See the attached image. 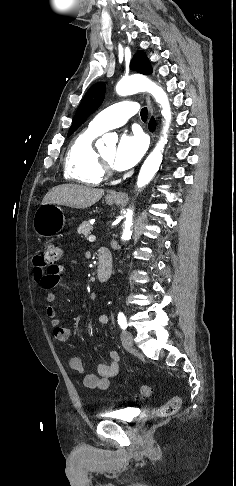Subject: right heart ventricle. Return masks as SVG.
Segmentation results:
<instances>
[{
	"label": "right heart ventricle",
	"instance_id": "right-heart-ventricle-1",
	"mask_svg": "<svg viewBox=\"0 0 236 486\" xmlns=\"http://www.w3.org/2000/svg\"><path fill=\"white\" fill-rule=\"evenodd\" d=\"M98 135L87 128L73 138L64 160V176L67 180L92 186L103 181L97 152L93 147Z\"/></svg>",
	"mask_w": 236,
	"mask_h": 486
}]
</instances>
